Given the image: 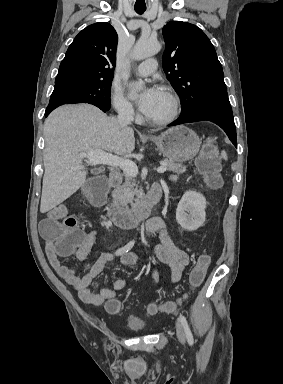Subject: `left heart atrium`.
Masks as SVG:
<instances>
[{"instance_id": "1", "label": "left heart atrium", "mask_w": 283, "mask_h": 384, "mask_svg": "<svg viewBox=\"0 0 283 384\" xmlns=\"http://www.w3.org/2000/svg\"><path fill=\"white\" fill-rule=\"evenodd\" d=\"M162 93L158 86H147L144 90L140 91L137 94V105L141 113L144 115L149 114Z\"/></svg>"}]
</instances>
